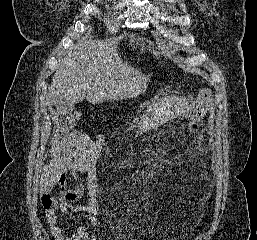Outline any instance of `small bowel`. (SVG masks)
Returning <instances> with one entry per match:
<instances>
[{"mask_svg": "<svg viewBox=\"0 0 257 240\" xmlns=\"http://www.w3.org/2000/svg\"><path fill=\"white\" fill-rule=\"evenodd\" d=\"M105 141L104 133H100L93 140L78 131L67 133L65 130L60 131L52 141L49 162L41 172L40 184L44 195H48V192L57 185L64 187L67 173L70 172L75 176L87 175L90 196L87 206L73 205L82 197L83 189L65 190L60 199L52 200V204L46 207V219L54 240H98L94 232L98 223L96 162ZM57 211H61L74 221H87V224L72 234L65 235L57 222ZM78 213L85 215L78 216ZM118 235L117 240H133L128 232L119 230Z\"/></svg>", "mask_w": 257, "mask_h": 240, "instance_id": "obj_1", "label": "small bowel"}]
</instances>
